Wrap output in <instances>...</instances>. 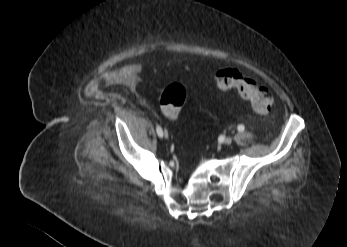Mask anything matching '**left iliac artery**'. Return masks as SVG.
<instances>
[{"mask_svg":"<svg viewBox=\"0 0 347 247\" xmlns=\"http://www.w3.org/2000/svg\"><path fill=\"white\" fill-rule=\"evenodd\" d=\"M237 129L239 132H243L245 130V127H244V125L240 124V125H238Z\"/></svg>","mask_w":347,"mask_h":247,"instance_id":"44dca946","label":"left iliac artery"}]
</instances>
